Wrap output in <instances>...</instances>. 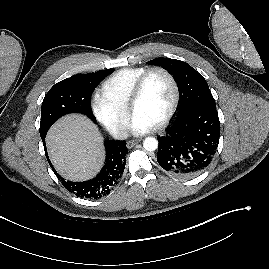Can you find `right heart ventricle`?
Wrapping results in <instances>:
<instances>
[{"instance_id": "e07e8e85", "label": "right heart ventricle", "mask_w": 269, "mask_h": 269, "mask_svg": "<svg viewBox=\"0 0 269 269\" xmlns=\"http://www.w3.org/2000/svg\"><path fill=\"white\" fill-rule=\"evenodd\" d=\"M147 67L123 68L111 75L102 85V94L115 105L126 109L133 88Z\"/></svg>"}]
</instances>
